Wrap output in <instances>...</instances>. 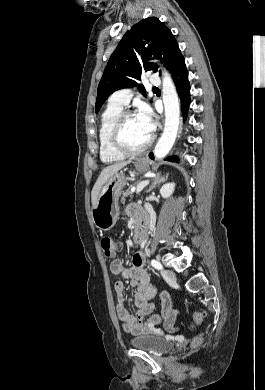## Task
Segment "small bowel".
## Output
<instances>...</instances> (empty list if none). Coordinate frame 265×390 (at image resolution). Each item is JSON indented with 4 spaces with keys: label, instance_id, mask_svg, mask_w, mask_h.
Here are the masks:
<instances>
[{
    "label": "small bowel",
    "instance_id": "obj_1",
    "mask_svg": "<svg viewBox=\"0 0 265 390\" xmlns=\"http://www.w3.org/2000/svg\"><path fill=\"white\" fill-rule=\"evenodd\" d=\"M127 213L133 219L146 218L144 210L137 205H130ZM116 250L122 248L121 242L115 243ZM145 254L136 252L132 258V266L125 268L123 261L119 258L110 263V270L115 275H121L130 280V284L137 288L134 296L136 314L132 315L126 308L124 299L125 285L123 281H117L114 285L117 294L116 313L122 323L123 328L132 334L161 333L162 324L168 331L175 330V321L179 315L176 309L172 308V302L167 292H162L161 315L153 314L155 304L152 302L157 293V289L151 281L150 275L144 269Z\"/></svg>",
    "mask_w": 265,
    "mask_h": 390
}]
</instances>
